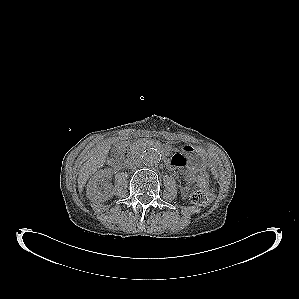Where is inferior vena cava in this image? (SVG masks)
Returning a JSON list of instances; mask_svg holds the SVG:
<instances>
[{
    "instance_id": "inferior-vena-cava-1",
    "label": "inferior vena cava",
    "mask_w": 299,
    "mask_h": 299,
    "mask_svg": "<svg viewBox=\"0 0 299 299\" xmlns=\"http://www.w3.org/2000/svg\"><path fill=\"white\" fill-rule=\"evenodd\" d=\"M140 163H141L140 161L135 160V161H133V162L131 163L130 168L135 169L136 167H139V166H140Z\"/></svg>"
}]
</instances>
